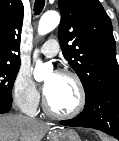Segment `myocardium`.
<instances>
[{"mask_svg":"<svg viewBox=\"0 0 119 141\" xmlns=\"http://www.w3.org/2000/svg\"><path fill=\"white\" fill-rule=\"evenodd\" d=\"M56 74L61 76H67L74 80L78 89V93H79L78 104L76 108L70 112H58L49 105L46 96H44L43 97L44 111L50 116L61 118V119H71V118L77 117L80 113H82V111L84 110L86 106L87 96H86V90H85L84 84L82 80L80 79V77L73 71L62 69V70H58Z\"/></svg>","mask_w":119,"mask_h":141,"instance_id":"myocardium-1","label":"myocardium"}]
</instances>
